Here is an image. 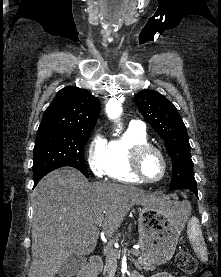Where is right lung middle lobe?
Returning <instances> with one entry per match:
<instances>
[{"mask_svg":"<svg viewBox=\"0 0 221 277\" xmlns=\"http://www.w3.org/2000/svg\"><path fill=\"white\" fill-rule=\"evenodd\" d=\"M92 129L38 130L34 147V180L64 166H71L89 177L84 159V146Z\"/></svg>","mask_w":221,"mask_h":277,"instance_id":"dd1d6c3e","label":"right lung middle lobe"}]
</instances>
